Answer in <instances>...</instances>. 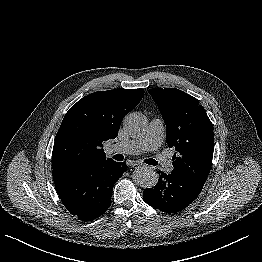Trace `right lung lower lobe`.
<instances>
[{
    "instance_id": "right-lung-lower-lobe-1",
    "label": "right lung lower lobe",
    "mask_w": 262,
    "mask_h": 262,
    "mask_svg": "<svg viewBox=\"0 0 262 262\" xmlns=\"http://www.w3.org/2000/svg\"><path fill=\"white\" fill-rule=\"evenodd\" d=\"M125 163L103 162L69 172H53L58 195L66 209L82 221L100 217L110 206L115 182Z\"/></svg>"
}]
</instances>
